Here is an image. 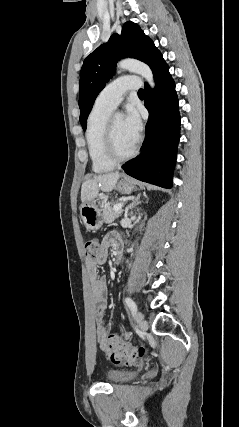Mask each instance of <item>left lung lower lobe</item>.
<instances>
[{
  "label": "left lung lower lobe",
  "mask_w": 239,
  "mask_h": 427,
  "mask_svg": "<svg viewBox=\"0 0 239 427\" xmlns=\"http://www.w3.org/2000/svg\"><path fill=\"white\" fill-rule=\"evenodd\" d=\"M156 87L145 84V107L150 118L140 155L123 165L124 171L144 182L172 187L180 138V114L175 83L164 62L154 73Z\"/></svg>",
  "instance_id": "obj_1"
}]
</instances>
